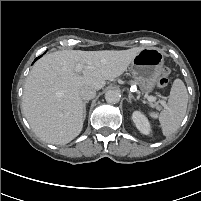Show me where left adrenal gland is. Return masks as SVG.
Wrapping results in <instances>:
<instances>
[{
	"instance_id": "left-adrenal-gland-1",
	"label": "left adrenal gland",
	"mask_w": 201,
	"mask_h": 201,
	"mask_svg": "<svg viewBox=\"0 0 201 201\" xmlns=\"http://www.w3.org/2000/svg\"><path fill=\"white\" fill-rule=\"evenodd\" d=\"M132 99L135 100L133 95L129 92V94H128V102L131 103Z\"/></svg>"
}]
</instances>
